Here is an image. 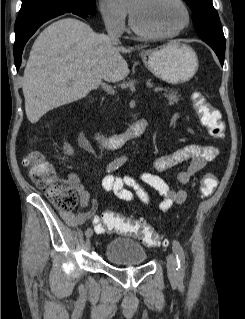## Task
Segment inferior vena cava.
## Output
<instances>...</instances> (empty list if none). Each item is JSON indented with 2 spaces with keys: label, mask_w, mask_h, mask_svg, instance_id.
Masks as SVG:
<instances>
[{
  "label": "inferior vena cava",
  "mask_w": 245,
  "mask_h": 319,
  "mask_svg": "<svg viewBox=\"0 0 245 319\" xmlns=\"http://www.w3.org/2000/svg\"><path fill=\"white\" fill-rule=\"evenodd\" d=\"M107 32L111 40L118 41L117 34L111 28H108Z\"/></svg>",
  "instance_id": "1"
}]
</instances>
